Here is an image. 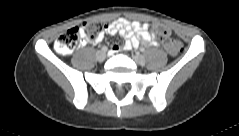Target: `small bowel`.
<instances>
[{"label":"small bowel","mask_w":239,"mask_h":136,"mask_svg":"<svg viewBox=\"0 0 239 136\" xmlns=\"http://www.w3.org/2000/svg\"><path fill=\"white\" fill-rule=\"evenodd\" d=\"M121 35L125 41L122 45H113L111 53L115 54L120 50H131L139 46L140 43L157 46L158 43L153 39L148 24H141L137 21H129L125 18H119L105 26L104 31L95 39L91 40L84 37L85 43L98 44L105 35Z\"/></svg>","instance_id":"c3829d8e"}]
</instances>
